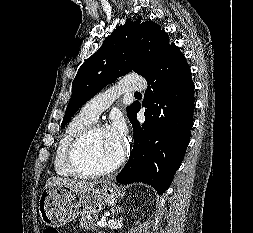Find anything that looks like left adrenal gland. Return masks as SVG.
Instances as JSON below:
<instances>
[{
	"label": "left adrenal gland",
	"instance_id": "obj_1",
	"mask_svg": "<svg viewBox=\"0 0 253 233\" xmlns=\"http://www.w3.org/2000/svg\"><path fill=\"white\" fill-rule=\"evenodd\" d=\"M116 211H117V214L120 213V212H122V206H120V207L118 206V207L116 208ZM113 213H114V212H113Z\"/></svg>",
	"mask_w": 253,
	"mask_h": 233
}]
</instances>
